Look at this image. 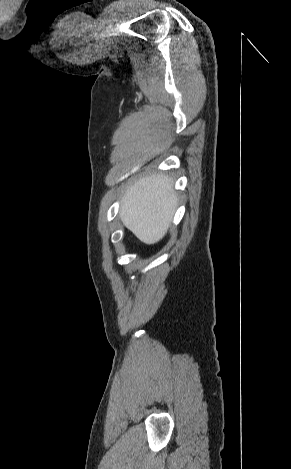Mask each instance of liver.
I'll list each match as a JSON object with an SVG mask.
<instances>
[{"instance_id":"6515ba94","label":"liver","mask_w":291,"mask_h":469,"mask_svg":"<svg viewBox=\"0 0 291 469\" xmlns=\"http://www.w3.org/2000/svg\"><path fill=\"white\" fill-rule=\"evenodd\" d=\"M177 208L173 181L152 174L137 181L125 193L119 211L123 225L145 244L160 241Z\"/></svg>"}]
</instances>
